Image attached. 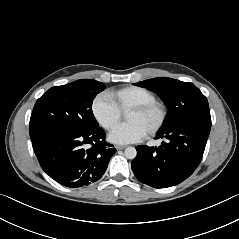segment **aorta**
I'll use <instances>...</instances> for the list:
<instances>
[{"mask_svg": "<svg viewBox=\"0 0 239 239\" xmlns=\"http://www.w3.org/2000/svg\"><path fill=\"white\" fill-rule=\"evenodd\" d=\"M125 157L128 159H134L137 155L135 147H127L124 151Z\"/></svg>", "mask_w": 239, "mask_h": 239, "instance_id": "aorta-1", "label": "aorta"}]
</instances>
